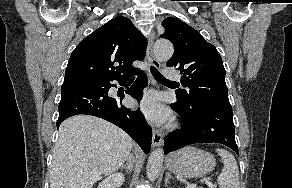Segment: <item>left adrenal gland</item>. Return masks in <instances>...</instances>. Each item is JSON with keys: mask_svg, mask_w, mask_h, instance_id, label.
Instances as JSON below:
<instances>
[{"mask_svg": "<svg viewBox=\"0 0 292 188\" xmlns=\"http://www.w3.org/2000/svg\"><path fill=\"white\" fill-rule=\"evenodd\" d=\"M170 178H173V177L171 176V173H170V172H167V173H166V178H165V184H166V185H167L168 180H169Z\"/></svg>", "mask_w": 292, "mask_h": 188, "instance_id": "1", "label": "left adrenal gland"}]
</instances>
